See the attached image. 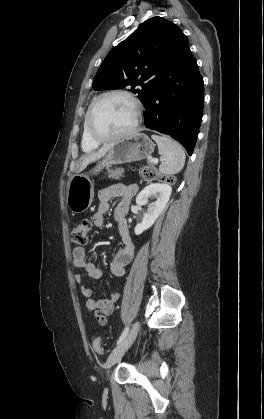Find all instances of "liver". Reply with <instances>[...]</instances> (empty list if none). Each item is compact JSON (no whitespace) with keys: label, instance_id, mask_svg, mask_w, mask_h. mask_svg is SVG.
Returning a JSON list of instances; mask_svg holds the SVG:
<instances>
[{"label":"liver","instance_id":"obj_1","mask_svg":"<svg viewBox=\"0 0 264 419\" xmlns=\"http://www.w3.org/2000/svg\"><path fill=\"white\" fill-rule=\"evenodd\" d=\"M111 147L112 144H106L103 147H101L98 151L83 156L78 172L83 171L91 162H94L95 160H98L105 156Z\"/></svg>","mask_w":264,"mask_h":419}]
</instances>
